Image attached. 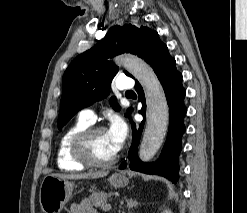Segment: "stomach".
<instances>
[{
  "instance_id": "1",
  "label": "stomach",
  "mask_w": 247,
  "mask_h": 213,
  "mask_svg": "<svg viewBox=\"0 0 247 213\" xmlns=\"http://www.w3.org/2000/svg\"><path fill=\"white\" fill-rule=\"evenodd\" d=\"M115 188L128 184V178L123 173H114L109 178ZM75 184L52 175L44 177L39 192V202L43 213H60L70 200Z\"/></svg>"
}]
</instances>
